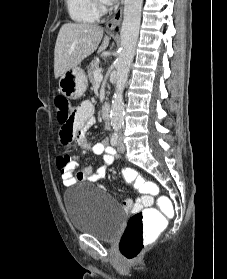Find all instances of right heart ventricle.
<instances>
[{
    "label": "right heart ventricle",
    "mask_w": 227,
    "mask_h": 279,
    "mask_svg": "<svg viewBox=\"0 0 227 279\" xmlns=\"http://www.w3.org/2000/svg\"><path fill=\"white\" fill-rule=\"evenodd\" d=\"M69 16L79 23H91L98 14L92 0H66Z\"/></svg>",
    "instance_id": "right-heart-ventricle-1"
}]
</instances>
